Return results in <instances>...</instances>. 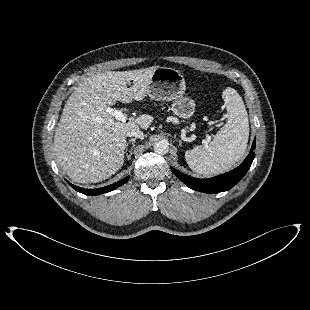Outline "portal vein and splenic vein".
Wrapping results in <instances>:
<instances>
[{"mask_svg": "<svg viewBox=\"0 0 310 310\" xmlns=\"http://www.w3.org/2000/svg\"><path fill=\"white\" fill-rule=\"evenodd\" d=\"M107 113L115 117L116 120L125 122L126 121V116L123 113L122 110H117L111 107L106 108ZM209 140V138H207Z\"/></svg>", "mask_w": 310, "mask_h": 310, "instance_id": "obj_1", "label": "portal vein and splenic vein"}]
</instances>
